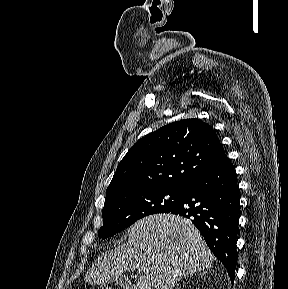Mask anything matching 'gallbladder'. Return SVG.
Returning a JSON list of instances; mask_svg holds the SVG:
<instances>
[{"mask_svg": "<svg viewBox=\"0 0 288 289\" xmlns=\"http://www.w3.org/2000/svg\"><path fill=\"white\" fill-rule=\"evenodd\" d=\"M114 282L119 286H126L129 284L128 280L125 276H118L114 278Z\"/></svg>", "mask_w": 288, "mask_h": 289, "instance_id": "obj_1", "label": "gallbladder"}]
</instances>
